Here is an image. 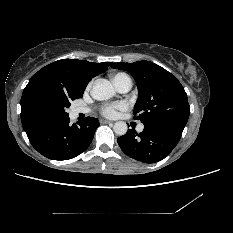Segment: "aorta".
<instances>
[{"label": "aorta", "mask_w": 233, "mask_h": 233, "mask_svg": "<svg viewBox=\"0 0 233 233\" xmlns=\"http://www.w3.org/2000/svg\"><path fill=\"white\" fill-rule=\"evenodd\" d=\"M90 94L92 98L103 101L113 97L115 91L112 84L108 80L101 79L95 83ZM113 130L117 135L122 136L127 133L128 126L125 122L118 121L114 124Z\"/></svg>", "instance_id": "obj_1"}]
</instances>
